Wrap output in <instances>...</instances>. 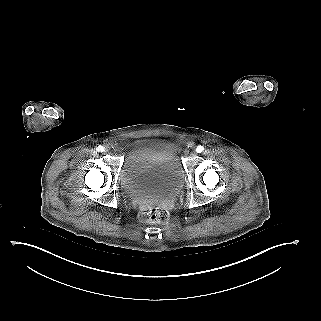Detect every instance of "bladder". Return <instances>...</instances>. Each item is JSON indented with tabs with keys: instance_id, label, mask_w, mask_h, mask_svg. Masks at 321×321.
Wrapping results in <instances>:
<instances>
[{
	"instance_id": "31cf9c89",
	"label": "bladder",
	"mask_w": 321,
	"mask_h": 321,
	"mask_svg": "<svg viewBox=\"0 0 321 321\" xmlns=\"http://www.w3.org/2000/svg\"><path fill=\"white\" fill-rule=\"evenodd\" d=\"M184 170L176 145L166 139L132 141L119 172L123 192L133 201L173 197L182 188Z\"/></svg>"
}]
</instances>
